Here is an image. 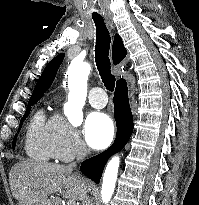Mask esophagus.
I'll list each match as a JSON object with an SVG mask.
<instances>
[{"mask_svg": "<svg viewBox=\"0 0 199 205\" xmlns=\"http://www.w3.org/2000/svg\"><path fill=\"white\" fill-rule=\"evenodd\" d=\"M109 24H110L111 28H113V25L110 22H109Z\"/></svg>", "mask_w": 199, "mask_h": 205, "instance_id": "1", "label": "esophagus"}]
</instances>
